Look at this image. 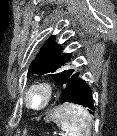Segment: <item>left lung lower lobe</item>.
Returning <instances> with one entry per match:
<instances>
[{
	"label": "left lung lower lobe",
	"instance_id": "1",
	"mask_svg": "<svg viewBox=\"0 0 117 136\" xmlns=\"http://www.w3.org/2000/svg\"><path fill=\"white\" fill-rule=\"evenodd\" d=\"M61 100L62 102L82 105L88 108L90 113H93L95 110L91 88L85 81L83 73L78 70L72 73L65 84Z\"/></svg>",
	"mask_w": 117,
	"mask_h": 136
}]
</instances>
